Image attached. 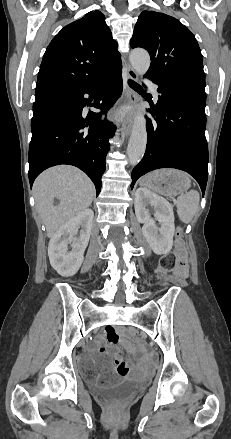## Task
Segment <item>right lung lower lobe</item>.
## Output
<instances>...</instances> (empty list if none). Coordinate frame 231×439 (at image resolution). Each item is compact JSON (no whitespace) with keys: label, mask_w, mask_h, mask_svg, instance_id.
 I'll use <instances>...</instances> for the list:
<instances>
[{"label":"right lung lower lobe","mask_w":231,"mask_h":439,"mask_svg":"<svg viewBox=\"0 0 231 439\" xmlns=\"http://www.w3.org/2000/svg\"><path fill=\"white\" fill-rule=\"evenodd\" d=\"M121 69L116 68L80 89L58 90L36 96L35 104L52 102L58 105L50 115L32 118V138L29 146V181L45 169L59 164L74 165L93 181L96 194L100 193L105 158L114 136L111 122L100 119V113L82 112L91 99L94 107L106 113L122 92Z\"/></svg>","instance_id":"obj_1"}]
</instances>
